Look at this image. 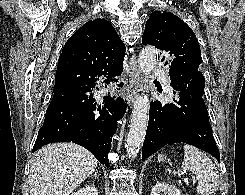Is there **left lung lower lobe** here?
I'll return each mask as SVG.
<instances>
[{"label":"left lung lower lobe","mask_w":245,"mask_h":195,"mask_svg":"<svg viewBox=\"0 0 245 195\" xmlns=\"http://www.w3.org/2000/svg\"><path fill=\"white\" fill-rule=\"evenodd\" d=\"M174 89L179 95L175 103L162 104L157 100L150 103L142 159L167 144L183 142L210 153L220 161L203 95L189 89Z\"/></svg>","instance_id":"0a47b994"}]
</instances>
